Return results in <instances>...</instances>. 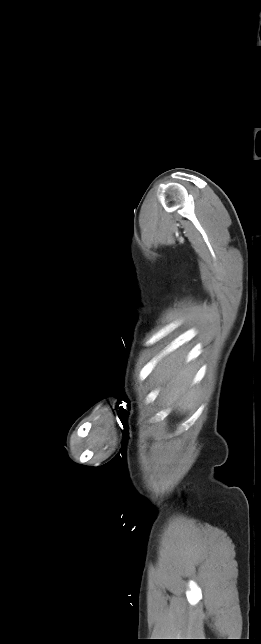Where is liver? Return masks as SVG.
Segmentation results:
<instances>
[{
	"label": "liver",
	"mask_w": 261,
	"mask_h": 644,
	"mask_svg": "<svg viewBox=\"0 0 261 644\" xmlns=\"http://www.w3.org/2000/svg\"><path fill=\"white\" fill-rule=\"evenodd\" d=\"M186 358L184 350H177L166 356L153 373L163 403L176 406L181 412L193 408L199 394V389L193 386L195 369L186 363Z\"/></svg>",
	"instance_id": "obj_1"
}]
</instances>
